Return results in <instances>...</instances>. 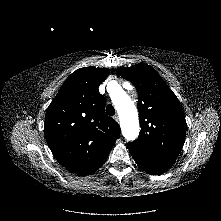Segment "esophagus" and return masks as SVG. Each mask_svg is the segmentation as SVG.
I'll list each match as a JSON object with an SVG mask.
<instances>
[{
	"mask_svg": "<svg viewBox=\"0 0 221 221\" xmlns=\"http://www.w3.org/2000/svg\"><path fill=\"white\" fill-rule=\"evenodd\" d=\"M114 119L118 122L119 121V117L117 115L114 116Z\"/></svg>",
	"mask_w": 221,
	"mask_h": 221,
	"instance_id": "34e87169",
	"label": "esophagus"
}]
</instances>
